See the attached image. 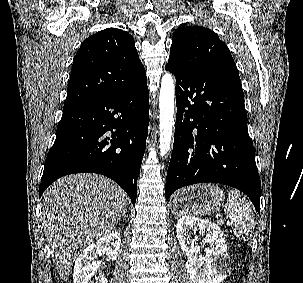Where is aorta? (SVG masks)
I'll list each match as a JSON object with an SVG mask.
<instances>
[{
  "label": "aorta",
  "instance_id": "762f6f07",
  "mask_svg": "<svg viewBox=\"0 0 303 283\" xmlns=\"http://www.w3.org/2000/svg\"><path fill=\"white\" fill-rule=\"evenodd\" d=\"M174 97L175 88L170 73L163 75L159 93V149L160 156L164 157L170 150L172 131L174 127Z\"/></svg>",
  "mask_w": 303,
  "mask_h": 283
}]
</instances>
